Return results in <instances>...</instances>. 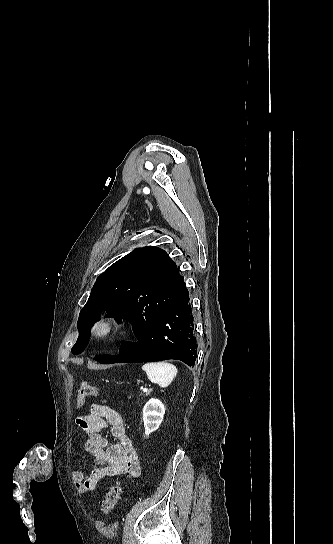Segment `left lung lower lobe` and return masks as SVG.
<instances>
[{"label":"left lung lower lobe","instance_id":"0a47b994","mask_svg":"<svg viewBox=\"0 0 333 544\" xmlns=\"http://www.w3.org/2000/svg\"><path fill=\"white\" fill-rule=\"evenodd\" d=\"M135 342L126 343L116 356L101 355L102 364L139 363L178 359L193 365L197 357L194 315L186 289L154 319L133 326Z\"/></svg>","mask_w":333,"mask_h":544}]
</instances>
